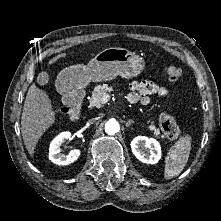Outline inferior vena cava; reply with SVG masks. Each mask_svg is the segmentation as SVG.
Instances as JSON below:
<instances>
[{"label":"inferior vena cava","mask_w":221,"mask_h":221,"mask_svg":"<svg viewBox=\"0 0 221 221\" xmlns=\"http://www.w3.org/2000/svg\"><path fill=\"white\" fill-rule=\"evenodd\" d=\"M89 122H90V123H93V122H94V119H91Z\"/></svg>","instance_id":"1"}]
</instances>
